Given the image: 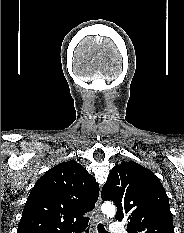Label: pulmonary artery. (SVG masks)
<instances>
[{
  "mask_svg": "<svg viewBox=\"0 0 184 233\" xmlns=\"http://www.w3.org/2000/svg\"><path fill=\"white\" fill-rule=\"evenodd\" d=\"M110 231L111 233H127L124 226L117 222L111 224Z\"/></svg>",
  "mask_w": 184,
  "mask_h": 233,
  "instance_id": "e3ab8cb5",
  "label": "pulmonary artery"
}]
</instances>
